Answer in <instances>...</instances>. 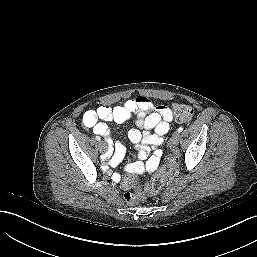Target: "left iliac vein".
I'll list each match as a JSON object with an SVG mask.
<instances>
[{"mask_svg": "<svg viewBox=\"0 0 257 257\" xmlns=\"http://www.w3.org/2000/svg\"><path fill=\"white\" fill-rule=\"evenodd\" d=\"M181 135L179 132H175L171 138L170 145H176L179 143Z\"/></svg>", "mask_w": 257, "mask_h": 257, "instance_id": "1", "label": "left iliac vein"}]
</instances>
